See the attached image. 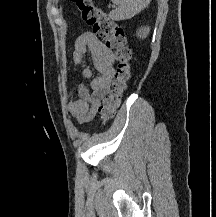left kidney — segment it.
Masks as SVG:
<instances>
[{
  "instance_id": "5707ae66",
  "label": "left kidney",
  "mask_w": 216,
  "mask_h": 217,
  "mask_svg": "<svg viewBox=\"0 0 216 217\" xmlns=\"http://www.w3.org/2000/svg\"><path fill=\"white\" fill-rule=\"evenodd\" d=\"M150 31L149 27H141L138 31H137V36H139L140 38H146L148 33Z\"/></svg>"
}]
</instances>
